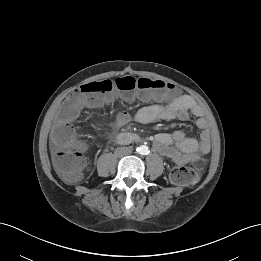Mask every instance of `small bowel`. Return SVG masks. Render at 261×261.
<instances>
[{"label": "small bowel", "mask_w": 261, "mask_h": 261, "mask_svg": "<svg viewBox=\"0 0 261 261\" xmlns=\"http://www.w3.org/2000/svg\"><path fill=\"white\" fill-rule=\"evenodd\" d=\"M113 95L107 96L110 99ZM194 118L195 125L201 130L199 138L190 137L184 131L177 130L172 133H159L153 142L156 149L164 157L177 162H195L199 155L210 151L209 123L204 117V110L192 97L182 95L164 103H154L141 107L134 114L126 111L119 112L112 121L111 130L126 126L135 121L140 124H152L160 120L187 121Z\"/></svg>", "instance_id": "obj_1"}]
</instances>
